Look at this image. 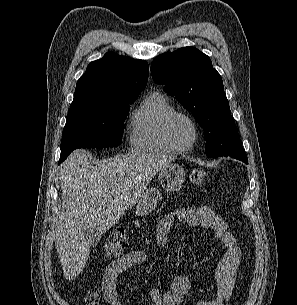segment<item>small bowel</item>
I'll use <instances>...</instances> for the list:
<instances>
[{
	"mask_svg": "<svg viewBox=\"0 0 297 305\" xmlns=\"http://www.w3.org/2000/svg\"><path fill=\"white\" fill-rule=\"evenodd\" d=\"M184 222L190 226L201 227L214 231L225 247V254L215 268L214 296L203 300L197 305H229L239 270L241 268V249L229 231L224 219L207 206L177 208L165 215L157 229V242L165 246L168 234L175 222ZM146 255L142 251H130L119 260L110 263L103 274L100 289H92L87 294L85 305H100L103 298L110 305H122L118 298L117 280L120 274L143 264ZM190 291V282L185 275H177L171 288L162 295L160 290L153 288L149 295L155 305H180Z\"/></svg>",
	"mask_w": 297,
	"mask_h": 305,
	"instance_id": "obj_1",
	"label": "small bowel"
}]
</instances>
